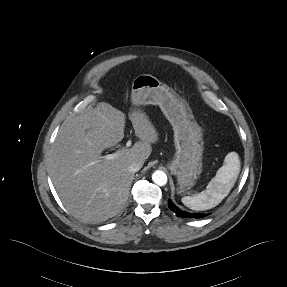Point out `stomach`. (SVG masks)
<instances>
[{
    "mask_svg": "<svg viewBox=\"0 0 287 287\" xmlns=\"http://www.w3.org/2000/svg\"><path fill=\"white\" fill-rule=\"evenodd\" d=\"M131 102L135 106L159 105L171 123L176 152L168 167L177 177L178 193L188 192L202 172L204 150L202 129L189 104L150 74H141L132 81Z\"/></svg>",
    "mask_w": 287,
    "mask_h": 287,
    "instance_id": "1",
    "label": "stomach"
}]
</instances>
